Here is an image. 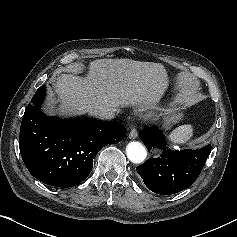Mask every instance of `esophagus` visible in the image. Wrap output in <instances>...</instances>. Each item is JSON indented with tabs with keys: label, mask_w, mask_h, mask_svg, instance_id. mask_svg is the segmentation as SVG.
I'll use <instances>...</instances> for the list:
<instances>
[{
	"label": "esophagus",
	"mask_w": 237,
	"mask_h": 237,
	"mask_svg": "<svg viewBox=\"0 0 237 237\" xmlns=\"http://www.w3.org/2000/svg\"><path fill=\"white\" fill-rule=\"evenodd\" d=\"M129 134H128V138L129 139H136L137 138V136H138V132H137V129L133 126V125H131L130 127H129Z\"/></svg>",
	"instance_id": "34e87169"
}]
</instances>
